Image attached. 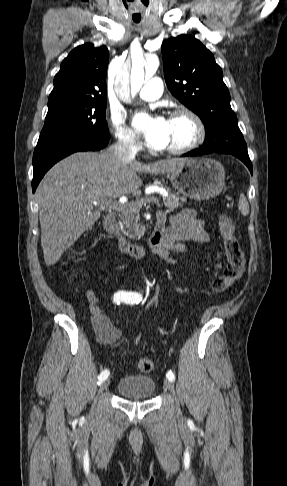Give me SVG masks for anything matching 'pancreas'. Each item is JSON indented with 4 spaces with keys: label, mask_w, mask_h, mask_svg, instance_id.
I'll return each mask as SVG.
<instances>
[{
    "label": "pancreas",
    "mask_w": 287,
    "mask_h": 486,
    "mask_svg": "<svg viewBox=\"0 0 287 486\" xmlns=\"http://www.w3.org/2000/svg\"><path fill=\"white\" fill-rule=\"evenodd\" d=\"M144 199L137 197L135 201L125 204L120 210L118 227L130 239L140 238L145 233V228L139 222V211L142 207L139 202ZM163 202L165 207L172 211L182 206V203L186 202V198H179L168 190V196L163 197Z\"/></svg>",
    "instance_id": "pancreas-1"
}]
</instances>
